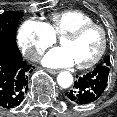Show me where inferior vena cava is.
<instances>
[{"instance_id": "1", "label": "inferior vena cava", "mask_w": 117, "mask_h": 117, "mask_svg": "<svg viewBox=\"0 0 117 117\" xmlns=\"http://www.w3.org/2000/svg\"><path fill=\"white\" fill-rule=\"evenodd\" d=\"M40 58H41V56H40L39 54L33 53V54L31 55V58H30V59H31L32 61H39Z\"/></svg>"}]
</instances>
